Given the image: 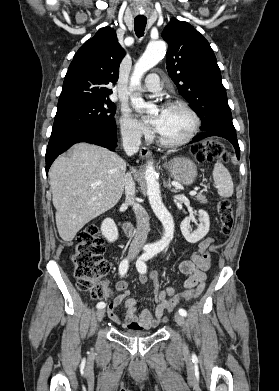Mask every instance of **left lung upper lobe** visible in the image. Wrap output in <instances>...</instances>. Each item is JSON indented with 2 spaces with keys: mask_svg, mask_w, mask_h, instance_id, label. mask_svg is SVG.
Segmentation results:
<instances>
[{
  "mask_svg": "<svg viewBox=\"0 0 279 391\" xmlns=\"http://www.w3.org/2000/svg\"><path fill=\"white\" fill-rule=\"evenodd\" d=\"M162 37L168 43V74L201 118V129L235 132L221 72L208 41L189 23L175 18Z\"/></svg>",
  "mask_w": 279,
  "mask_h": 391,
  "instance_id": "1",
  "label": "left lung upper lobe"
}]
</instances>
